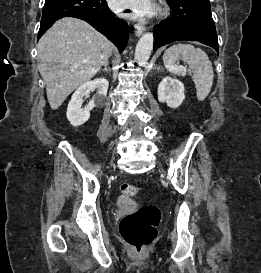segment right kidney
Wrapping results in <instances>:
<instances>
[{
    "label": "right kidney",
    "mask_w": 261,
    "mask_h": 273,
    "mask_svg": "<svg viewBox=\"0 0 261 273\" xmlns=\"http://www.w3.org/2000/svg\"><path fill=\"white\" fill-rule=\"evenodd\" d=\"M109 82L105 78H97L81 85L72 95L67 107V119L72 126L78 127L84 124L90 118V111L96 107L98 103H102L107 95ZM97 89L96 96L81 108L83 97L90 94L91 91Z\"/></svg>",
    "instance_id": "right-kidney-1"
}]
</instances>
